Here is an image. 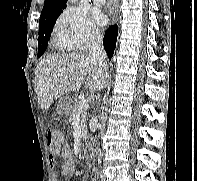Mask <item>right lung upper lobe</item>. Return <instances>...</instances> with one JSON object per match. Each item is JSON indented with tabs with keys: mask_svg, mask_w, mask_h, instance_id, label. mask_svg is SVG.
Segmentation results:
<instances>
[{
	"mask_svg": "<svg viewBox=\"0 0 197 181\" xmlns=\"http://www.w3.org/2000/svg\"><path fill=\"white\" fill-rule=\"evenodd\" d=\"M67 0H45L40 17L62 12L66 7Z\"/></svg>",
	"mask_w": 197,
	"mask_h": 181,
	"instance_id": "right-lung-upper-lobe-1",
	"label": "right lung upper lobe"
}]
</instances>
